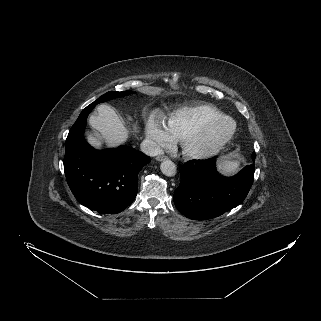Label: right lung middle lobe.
Returning <instances> with one entry per match:
<instances>
[{"label": "right lung middle lobe", "mask_w": 321, "mask_h": 321, "mask_svg": "<svg viewBox=\"0 0 321 321\" xmlns=\"http://www.w3.org/2000/svg\"><path fill=\"white\" fill-rule=\"evenodd\" d=\"M130 93H132L130 90L122 91V92L110 91V92H107L106 94L102 95L101 97H99L96 101H94L88 107L94 108L97 104H99L101 102H106L110 99L117 98V97H123V96L130 94Z\"/></svg>", "instance_id": "right-lung-middle-lobe-1"}]
</instances>
